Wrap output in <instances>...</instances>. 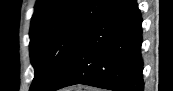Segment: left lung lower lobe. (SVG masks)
I'll use <instances>...</instances> for the list:
<instances>
[{
  "label": "left lung lower lobe",
  "instance_id": "left-lung-lower-lobe-1",
  "mask_svg": "<svg viewBox=\"0 0 173 91\" xmlns=\"http://www.w3.org/2000/svg\"><path fill=\"white\" fill-rule=\"evenodd\" d=\"M141 24L136 0H113L75 51L65 74L48 91L75 84L142 91Z\"/></svg>",
  "mask_w": 173,
  "mask_h": 91
}]
</instances>
